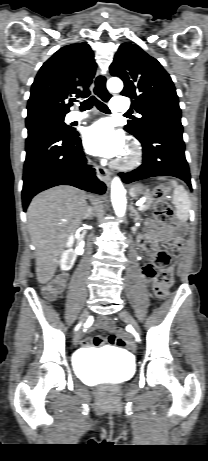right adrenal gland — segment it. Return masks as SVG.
Segmentation results:
<instances>
[{
    "label": "right adrenal gland",
    "mask_w": 208,
    "mask_h": 461,
    "mask_svg": "<svg viewBox=\"0 0 208 461\" xmlns=\"http://www.w3.org/2000/svg\"><path fill=\"white\" fill-rule=\"evenodd\" d=\"M88 207H89V213L83 217L84 220L93 218L92 208L90 206Z\"/></svg>",
    "instance_id": "right-adrenal-gland-1"
}]
</instances>
